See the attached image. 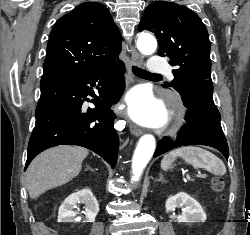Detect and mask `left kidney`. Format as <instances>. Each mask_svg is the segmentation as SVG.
Returning a JSON list of instances; mask_svg holds the SVG:
<instances>
[{
  "mask_svg": "<svg viewBox=\"0 0 250 235\" xmlns=\"http://www.w3.org/2000/svg\"><path fill=\"white\" fill-rule=\"evenodd\" d=\"M178 206H182V214L178 217V222L195 223L205 222L206 214L201 205L191 196L180 192L167 199L166 212L174 211Z\"/></svg>",
  "mask_w": 250,
  "mask_h": 235,
  "instance_id": "obj_1",
  "label": "left kidney"
}]
</instances>
